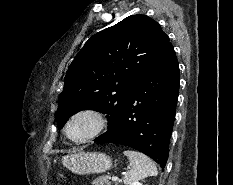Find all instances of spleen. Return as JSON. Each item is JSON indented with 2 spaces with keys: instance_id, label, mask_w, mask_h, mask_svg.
Masks as SVG:
<instances>
[{
  "instance_id": "3e777b00",
  "label": "spleen",
  "mask_w": 233,
  "mask_h": 185,
  "mask_svg": "<svg viewBox=\"0 0 233 185\" xmlns=\"http://www.w3.org/2000/svg\"><path fill=\"white\" fill-rule=\"evenodd\" d=\"M124 155L129 159V168L124 175L125 185H132L148 176H157L155 163L146 155L132 150H125Z\"/></svg>"
}]
</instances>
